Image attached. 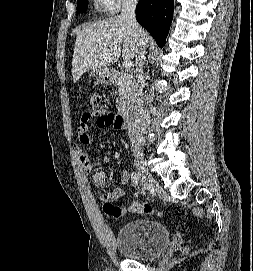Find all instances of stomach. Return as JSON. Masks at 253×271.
<instances>
[{
    "label": "stomach",
    "instance_id": "obj_1",
    "mask_svg": "<svg viewBox=\"0 0 253 271\" xmlns=\"http://www.w3.org/2000/svg\"><path fill=\"white\" fill-rule=\"evenodd\" d=\"M90 77H95L97 81L103 84L113 83L115 78L108 68L95 69L90 72Z\"/></svg>",
    "mask_w": 253,
    "mask_h": 271
}]
</instances>
